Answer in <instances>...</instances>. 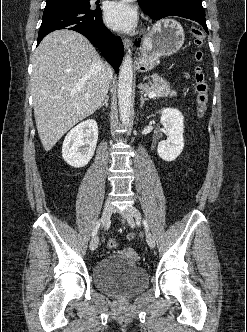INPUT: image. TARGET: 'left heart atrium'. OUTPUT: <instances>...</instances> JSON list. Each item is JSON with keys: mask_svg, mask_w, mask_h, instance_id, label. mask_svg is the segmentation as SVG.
<instances>
[{"mask_svg": "<svg viewBox=\"0 0 247 332\" xmlns=\"http://www.w3.org/2000/svg\"><path fill=\"white\" fill-rule=\"evenodd\" d=\"M104 18L109 27L126 31L137 23V11L126 0L109 2L104 11Z\"/></svg>", "mask_w": 247, "mask_h": 332, "instance_id": "39dd6f15", "label": "left heart atrium"}]
</instances>
